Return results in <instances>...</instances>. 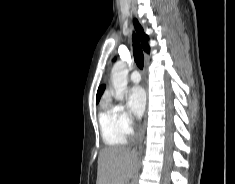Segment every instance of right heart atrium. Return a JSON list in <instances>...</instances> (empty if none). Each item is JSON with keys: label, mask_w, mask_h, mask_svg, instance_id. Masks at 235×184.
Wrapping results in <instances>:
<instances>
[{"label": "right heart atrium", "mask_w": 235, "mask_h": 184, "mask_svg": "<svg viewBox=\"0 0 235 184\" xmlns=\"http://www.w3.org/2000/svg\"><path fill=\"white\" fill-rule=\"evenodd\" d=\"M114 110L116 113L118 125L120 129L122 130V132L127 137L134 135L135 125L128 110L123 105H115Z\"/></svg>", "instance_id": "obj_1"}]
</instances>
